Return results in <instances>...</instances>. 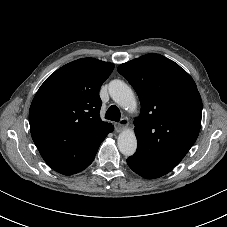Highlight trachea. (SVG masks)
Segmentation results:
<instances>
[{
    "instance_id": "trachea-1",
    "label": "trachea",
    "mask_w": 227,
    "mask_h": 227,
    "mask_svg": "<svg viewBox=\"0 0 227 227\" xmlns=\"http://www.w3.org/2000/svg\"><path fill=\"white\" fill-rule=\"evenodd\" d=\"M121 117L120 110L117 106L111 105L105 115V118L112 121H119Z\"/></svg>"
}]
</instances>
